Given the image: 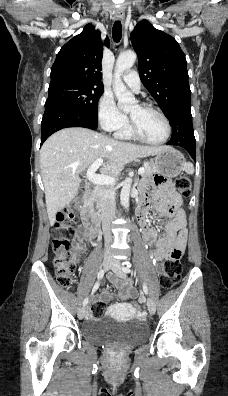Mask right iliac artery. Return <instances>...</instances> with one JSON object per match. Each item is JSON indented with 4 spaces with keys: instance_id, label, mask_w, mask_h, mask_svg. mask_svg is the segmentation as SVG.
Instances as JSON below:
<instances>
[{
    "instance_id": "obj_1",
    "label": "right iliac artery",
    "mask_w": 228,
    "mask_h": 396,
    "mask_svg": "<svg viewBox=\"0 0 228 396\" xmlns=\"http://www.w3.org/2000/svg\"><path fill=\"white\" fill-rule=\"evenodd\" d=\"M104 274H105V271H104V270H100V271L98 272V280L102 279L103 276H104ZM97 288H98V283L95 284V286H94V288H93V292H95V291L97 290ZM87 303H88V298L84 299V301H83V306H86Z\"/></svg>"
}]
</instances>
